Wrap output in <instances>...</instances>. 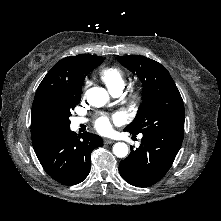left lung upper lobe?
Masks as SVG:
<instances>
[{
  "label": "left lung upper lobe",
  "instance_id": "5c2ea615",
  "mask_svg": "<svg viewBox=\"0 0 221 221\" xmlns=\"http://www.w3.org/2000/svg\"><path fill=\"white\" fill-rule=\"evenodd\" d=\"M117 60L143 84V102L125 131L183 140V100L166 68L144 56H117Z\"/></svg>",
  "mask_w": 221,
  "mask_h": 221
}]
</instances>
